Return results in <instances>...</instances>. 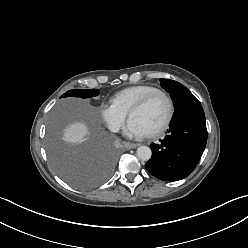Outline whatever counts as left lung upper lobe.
Listing matches in <instances>:
<instances>
[{
  "instance_id": "left-lung-upper-lobe-1",
  "label": "left lung upper lobe",
  "mask_w": 248,
  "mask_h": 248,
  "mask_svg": "<svg viewBox=\"0 0 248 248\" xmlns=\"http://www.w3.org/2000/svg\"><path fill=\"white\" fill-rule=\"evenodd\" d=\"M161 86L170 93L176 108L187 96L192 93L182 84L170 79H160Z\"/></svg>"
}]
</instances>
